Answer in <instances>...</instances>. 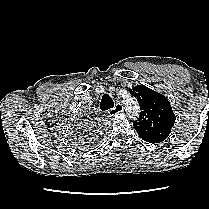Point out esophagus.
<instances>
[{
    "label": "esophagus",
    "mask_w": 209,
    "mask_h": 209,
    "mask_svg": "<svg viewBox=\"0 0 209 209\" xmlns=\"http://www.w3.org/2000/svg\"><path fill=\"white\" fill-rule=\"evenodd\" d=\"M124 110V107L121 103H116L115 107L109 110V114L114 116Z\"/></svg>",
    "instance_id": "34e87169"
}]
</instances>
